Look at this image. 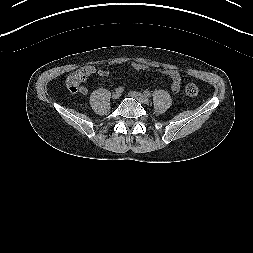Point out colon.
<instances>
[{
	"label": "colon",
	"instance_id": "colon-1",
	"mask_svg": "<svg viewBox=\"0 0 253 253\" xmlns=\"http://www.w3.org/2000/svg\"><path fill=\"white\" fill-rule=\"evenodd\" d=\"M90 70L87 67H81L72 73L67 80V87L71 92H79L82 83L87 80ZM188 96L194 97L198 94V87L194 83H188L185 87Z\"/></svg>",
	"mask_w": 253,
	"mask_h": 253
}]
</instances>
